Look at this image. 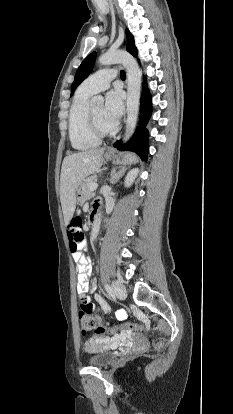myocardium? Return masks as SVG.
<instances>
[{"label": "myocardium", "mask_w": 233, "mask_h": 414, "mask_svg": "<svg viewBox=\"0 0 233 414\" xmlns=\"http://www.w3.org/2000/svg\"><path fill=\"white\" fill-rule=\"evenodd\" d=\"M86 121H87V127L88 130L90 131V133L95 136L98 139H102V138H106L109 137L111 135H113L117 129H118V125L115 124L111 129L109 130H102L96 123L94 116L91 112V109L88 108L87 109V113H86Z\"/></svg>", "instance_id": "obj_1"}]
</instances>
